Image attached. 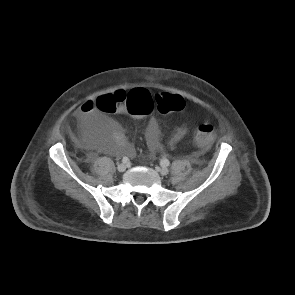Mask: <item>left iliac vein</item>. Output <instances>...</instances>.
I'll use <instances>...</instances> for the list:
<instances>
[{
	"label": "left iliac vein",
	"instance_id": "4c4485c4",
	"mask_svg": "<svg viewBox=\"0 0 295 295\" xmlns=\"http://www.w3.org/2000/svg\"><path fill=\"white\" fill-rule=\"evenodd\" d=\"M157 171L161 174V175H167L169 173V169L167 167H158Z\"/></svg>",
	"mask_w": 295,
	"mask_h": 295
}]
</instances>
